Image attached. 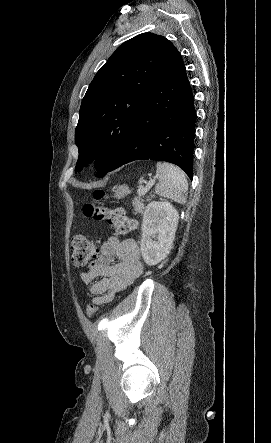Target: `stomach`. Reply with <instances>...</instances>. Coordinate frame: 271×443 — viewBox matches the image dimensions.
Masks as SVG:
<instances>
[{
    "label": "stomach",
    "instance_id": "1",
    "mask_svg": "<svg viewBox=\"0 0 271 443\" xmlns=\"http://www.w3.org/2000/svg\"><path fill=\"white\" fill-rule=\"evenodd\" d=\"M130 194L128 186H118L117 190H115V194L113 198H117V200H122V198H125V196H128Z\"/></svg>",
    "mask_w": 271,
    "mask_h": 443
}]
</instances>
